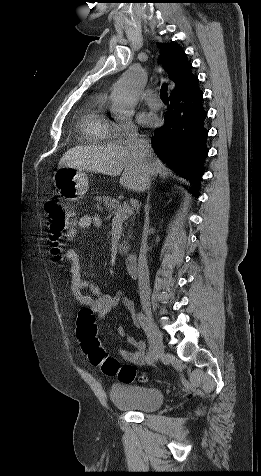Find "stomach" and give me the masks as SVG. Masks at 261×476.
<instances>
[{"label":"stomach","mask_w":261,"mask_h":476,"mask_svg":"<svg viewBox=\"0 0 261 476\" xmlns=\"http://www.w3.org/2000/svg\"><path fill=\"white\" fill-rule=\"evenodd\" d=\"M54 183L61 194L70 201L81 198L88 190V177L84 170L63 167L54 173Z\"/></svg>","instance_id":"stomach-1"}]
</instances>
